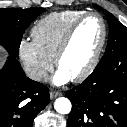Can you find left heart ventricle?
Segmentation results:
<instances>
[{
	"instance_id": "b2bd125f",
	"label": "left heart ventricle",
	"mask_w": 127,
	"mask_h": 127,
	"mask_svg": "<svg viewBox=\"0 0 127 127\" xmlns=\"http://www.w3.org/2000/svg\"><path fill=\"white\" fill-rule=\"evenodd\" d=\"M102 37V25L97 17L87 18L77 29L60 62L62 71L70 77L77 75L89 63Z\"/></svg>"
}]
</instances>
